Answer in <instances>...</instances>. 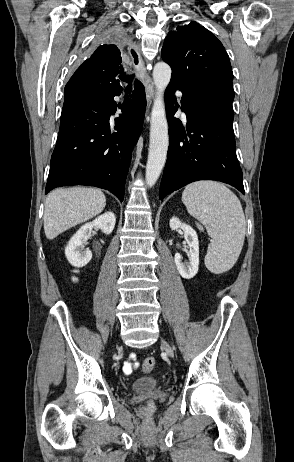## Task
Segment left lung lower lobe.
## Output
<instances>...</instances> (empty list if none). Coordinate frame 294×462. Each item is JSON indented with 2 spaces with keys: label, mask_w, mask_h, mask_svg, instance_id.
<instances>
[{
  "label": "left lung lower lobe",
  "mask_w": 294,
  "mask_h": 462,
  "mask_svg": "<svg viewBox=\"0 0 294 462\" xmlns=\"http://www.w3.org/2000/svg\"><path fill=\"white\" fill-rule=\"evenodd\" d=\"M184 94L181 109L187 128L174 117L179 105L174 93ZM234 91L226 87L183 89L170 82L165 92L170 145L159 198L197 180H217L244 192L242 170L235 152Z\"/></svg>",
  "instance_id": "0a47b994"
}]
</instances>
